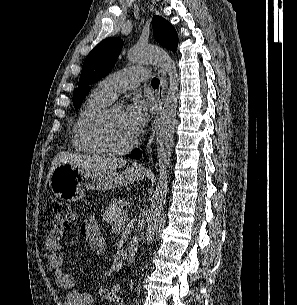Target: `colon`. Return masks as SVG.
<instances>
[{
  "instance_id": "1",
  "label": "colon",
  "mask_w": 297,
  "mask_h": 305,
  "mask_svg": "<svg viewBox=\"0 0 297 305\" xmlns=\"http://www.w3.org/2000/svg\"><path fill=\"white\" fill-rule=\"evenodd\" d=\"M76 224V216L71 206L65 202H57L54 206L52 228L59 231H69Z\"/></svg>"
}]
</instances>
